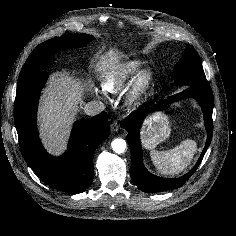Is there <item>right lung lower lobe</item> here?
I'll use <instances>...</instances> for the list:
<instances>
[{"instance_id": "right-lung-lower-lobe-1", "label": "right lung lower lobe", "mask_w": 236, "mask_h": 236, "mask_svg": "<svg viewBox=\"0 0 236 236\" xmlns=\"http://www.w3.org/2000/svg\"><path fill=\"white\" fill-rule=\"evenodd\" d=\"M47 77V72L39 71L18 80L14 121L20 150L31 169L49 186L71 194L81 193L93 180L94 151L109 136L107 114L77 121L65 155L52 157L43 148L36 128L38 99Z\"/></svg>"}]
</instances>
